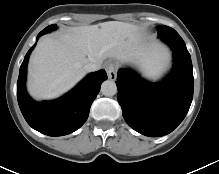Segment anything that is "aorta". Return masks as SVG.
<instances>
[{"mask_svg":"<svg viewBox=\"0 0 219 174\" xmlns=\"http://www.w3.org/2000/svg\"><path fill=\"white\" fill-rule=\"evenodd\" d=\"M101 92L105 96H113L117 93L116 83L112 80H106L101 85Z\"/></svg>","mask_w":219,"mask_h":174,"instance_id":"1","label":"aorta"}]
</instances>
